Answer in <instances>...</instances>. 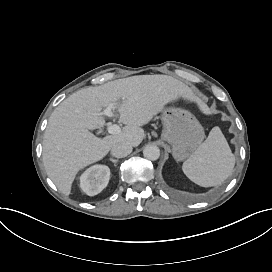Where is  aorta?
Listing matches in <instances>:
<instances>
[{"instance_id":"1","label":"aorta","mask_w":272,"mask_h":272,"mask_svg":"<svg viewBox=\"0 0 272 272\" xmlns=\"http://www.w3.org/2000/svg\"><path fill=\"white\" fill-rule=\"evenodd\" d=\"M143 155L148 160L155 161L160 156V150L157 146L154 145H148L143 150Z\"/></svg>"}]
</instances>
